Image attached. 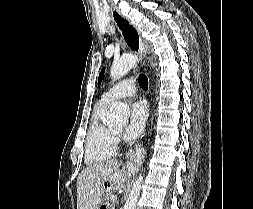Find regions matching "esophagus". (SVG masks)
I'll use <instances>...</instances> for the list:
<instances>
[{
	"label": "esophagus",
	"instance_id": "1",
	"mask_svg": "<svg viewBox=\"0 0 253 209\" xmlns=\"http://www.w3.org/2000/svg\"><path fill=\"white\" fill-rule=\"evenodd\" d=\"M111 15L115 24L121 32L122 30L120 29V26L124 25V27H126V30L124 33L122 32V35L129 49L135 54L142 56L146 52V45L142 41L138 29L129 21L128 18L123 16L119 11H112ZM137 151L138 147H136L128 154L127 165H132L136 161Z\"/></svg>",
	"mask_w": 253,
	"mask_h": 209
}]
</instances>
